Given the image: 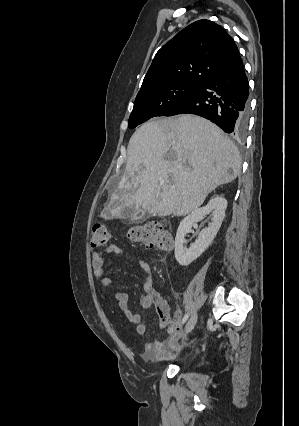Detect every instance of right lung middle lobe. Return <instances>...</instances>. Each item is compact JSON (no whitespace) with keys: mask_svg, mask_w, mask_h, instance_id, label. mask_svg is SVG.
I'll list each match as a JSON object with an SVG mask.
<instances>
[{"mask_svg":"<svg viewBox=\"0 0 299 426\" xmlns=\"http://www.w3.org/2000/svg\"><path fill=\"white\" fill-rule=\"evenodd\" d=\"M199 87L188 83H173L138 95L129 117L128 127L134 128L154 116H164Z\"/></svg>","mask_w":299,"mask_h":426,"instance_id":"dd1d6c3e","label":"right lung middle lobe"}]
</instances>
